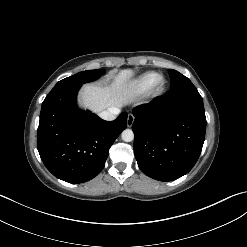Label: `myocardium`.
Instances as JSON below:
<instances>
[{"mask_svg":"<svg viewBox=\"0 0 247 247\" xmlns=\"http://www.w3.org/2000/svg\"><path fill=\"white\" fill-rule=\"evenodd\" d=\"M165 86V79L163 76L158 75L153 87L155 91H162Z\"/></svg>","mask_w":247,"mask_h":247,"instance_id":"obj_1","label":"myocardium"}]
</instances>
